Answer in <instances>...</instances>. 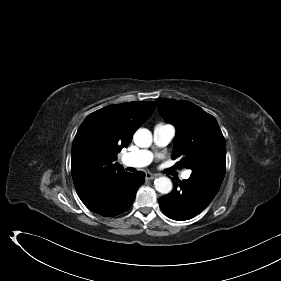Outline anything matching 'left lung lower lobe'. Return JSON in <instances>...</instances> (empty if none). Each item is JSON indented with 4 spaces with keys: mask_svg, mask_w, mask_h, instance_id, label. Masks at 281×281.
I'll return each instance as SVG.
<instances>
[{
    "mask_svg": "<svg viewBox=\"0 0 281 281\" xmlns=\"http://www.w3.org/2000/svg\"><path fill=\"white\" fill-rule=\"evenodd\" d=\"M173 180V179H172ZM171 193L159 199L163 213L177 221H184L202 212L213 200L222 181L191 174L183 181H174Z\"/></svg>",
    "mask_w": 281,
    "mask_h": 281,
    "instance_id": "0a47b994",
    "label": "left lung lower lobe"
}]
</instances>
